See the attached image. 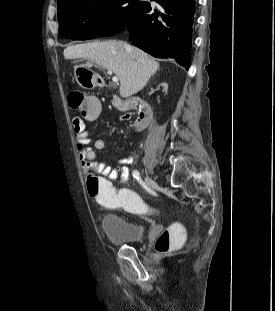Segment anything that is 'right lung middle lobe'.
Segmentation results:
<instances>
[{"mask_svg":"<svg viewBox=\"0 0 275 311\" xmlns=\"http://www.w3.org/2000/svg\"><path fill=\"white\" fill-rule=\"evenodd\" d=\"M149 4L144 0H70L58 5L59 33L68 39H80L87 33L114 35Z\"/></svg>","mask_w":275,"mask_h":311,"instance_id":"obj_1","label":"right lung middle lobe"}]
</instances>
